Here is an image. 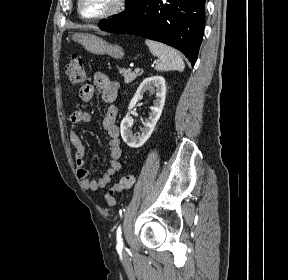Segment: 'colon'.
Masks as SVG:
<instances>
[{"mask_svg":"<svg viewBox=\"0 0 288 280\" xmlns=\"http://www.w3.org/2000/svg\"><path fill=\"white\" fill-rule=\"evenodd\" d=\"M66 73L72 83L81 84L88 80L86 70L80 58L72 55L66 66ZM134 183V176L129 174L123 176L119 182L112 185L105 193V201L109 207H113L116 203L115 193L125 189H129Z\"/></svg>","mask_w":288,"mask_h":280,"instance_id":"1","label":"colon"}]
</instances>
